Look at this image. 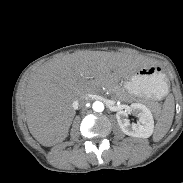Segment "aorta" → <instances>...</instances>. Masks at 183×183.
Segmentation results:
<instances>
[{"label": "aorta", "instance_id": "1", "mask_svg": "<svg viewBox=\"0 0 183 183\" xmlns=\"http://www.w3.org/2000/svg\"><path fill=\"white\" fill-rule=\"evenodd\" d=\"M92 108L95 112H102L104 110V104L100 101H95Z\"/></svg>", "mask_w": 183, "mask_h": 183}]
</instances>
